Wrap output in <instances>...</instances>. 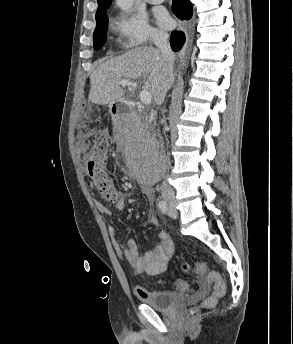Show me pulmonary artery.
I'll return each mask as SVG.
<instances>
[{
	"mask_svg": "<svg viewBox=\"0 0 293 344\" xmlns=\"http://www.w3.org/2000/svg\"><path fill=\"white\" fill-rule=\"evenodd\" d=\"M150 4H160L162 3L164 0H147Z\"/></svg>",
	"mask_w": 293,
	"mask_h": 344,
	"instance_id": "1",
	"label": "pulmonary artery"
}]
</instances>
